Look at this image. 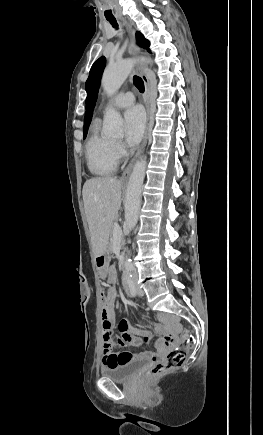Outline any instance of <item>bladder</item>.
Masks as SVG:
<instances>
[{
  "instance_id": "31cf9c89",
  "label": "bladder",
  "mask_w": 263,
  "mask_h": 435,
  "mask_svg": "<svg viewBox=\"0 0 263 435\" xmlns=\"http://www.w3.org/2000/svg\"><path fill=\"white\" fill-rule=\"evenodd\" d=\"M146 362V359L138 358L121 365L103 366L101 367L100 373L103 377L109 378L115 382H126L130 380Z\"/></svg>"
}]
</instances>
